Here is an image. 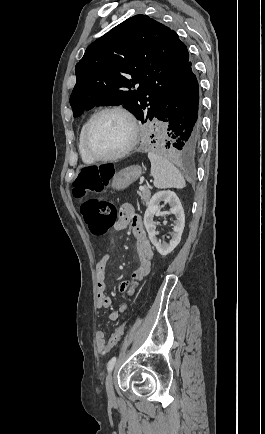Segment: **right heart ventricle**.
Returning <instances> with one entry per match:
<instances>
[{
    "label": "right heart ventricle",
    "instance_id": "e07e8e85",
    "mask_svg": "<svg viewBox=\"0 0 265 434\" xmlns=\"http://www.w3.org/2000/svg\"><path fill=\"white\" fill-rule=\"evenodd\" d=\"M89 119H87L81 126L79 134H78V138H77V152H78V156L79 159L81 161V163L83 165L86 166H91L94 165L96 162L92 159H90L84 152L83 149V137L85 135L86 132V128H87V124H88Z\"/></svg>",
    "mask_w": 265,
    "mask_h": 434
}]
</instances>
